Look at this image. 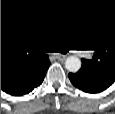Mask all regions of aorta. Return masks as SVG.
Instances as JSON below:
<instances>
[{
  "instance_id": "aorta-1",
  "label": "aorta",
  "mask_w": 115,
  "mask_h": 114,
  "mask_svg": "<svg viewBox=\"0 0 115 114\" xmlns=\"http://www.w3.org/2000/svg\"><path fill=\"white\" fill-rule=\"evenodd\" d=\"M65 68L69 72H77L81 68V60L76 56H69L65 61Z\"/></svg>"
}]
</instances>
